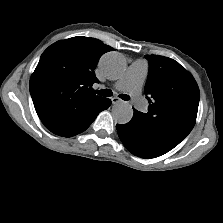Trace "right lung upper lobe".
<instances>
[{
    "instance_id": "right-lung-upper-lobe-1",
    "label": "right lung upper lobe",
    "mask_w": 223,
    "mask_h": 223,
    "mask_svg": "<svg viewBox=\"0 0 223 223\" xmlns=\"http://www.w3.org/2000/svg\"><path fill=\"white\" fill-rule=\"evenodd\" d=\"M112 50L100 40L78 36L44 51L31 76L30 93L47 129L77 133L94 120L106 100L90 92L99 82L94 69L101 55Z\"/></svg>"
}]
</instances>
